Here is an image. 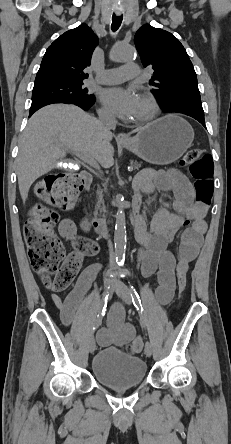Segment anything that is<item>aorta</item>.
Here are the masks:
<instances>
[{
  "label": "aorta",
  "instance_id": "aorta-1",
  "mask_svg": "<svg viewBox=\"0 0 231 444\" xmlns=\"http://www.w3.org/2000/svg\"><path fill=\"white\" fill-rule=\"evenodd\" d=\"M134 57V49L123 42H118L111 53V59L115 62L129 61ZM118 211L116 214L114 243L116 261L121 263L124 260V250L126 247V223L123 201H118Z\"/></svg>",
  "mask_w": 231,
  "mask_h": 444
}]
</instances>
